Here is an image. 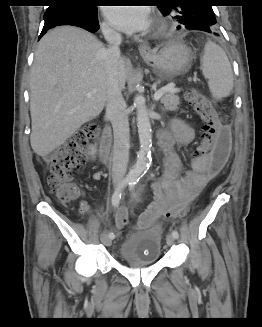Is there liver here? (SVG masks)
Here are the masks:
<instances>
[{"label":"liver","mask_w":262,"mask_h":327,"mask_svg":"<svg viewBox=\"0 0 262 327\" xmlns=\"http://www.w3.org/2000/svg\"><path fill=\"white\" fill-rule=\"evenodd\" d=\"M125 88L127 63L118 66ZM33 151L46 158L107 103L106 48L87 31L63 26L48 32L35 52L30 78ZM91 93L90 96H87Z\"/></svg>","instance_id":"obj_1"}]
</instances>
